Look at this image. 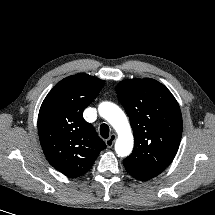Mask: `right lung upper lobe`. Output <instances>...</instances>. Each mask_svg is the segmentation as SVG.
Returning <instances> with one entry per match:
<instances>
[{"label": "right lung upper lobe", "instance_id": "right-lung-upper-lobe-1", "mask_svg": "<svg viewBox=\"0 0 215 215\" xmlns=\"http://www.w3.org/2000/svg\"><path fill=\"white\" fill-rule=\"evenodd\" d=\"M104 81L79 73L58 82L38 115L39 139L49 163L75 178L86 173L106 144L83 118V110L99 94Z\"/></svg>", "mask_w": 215, "mask_h": 215}]
</instances>
